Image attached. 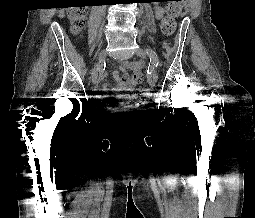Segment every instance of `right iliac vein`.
Returning a JSON list of instances; mask_svg holds the SVG:
<instances>
[{"label":"right iliac vein","instance_id":"1","mask_svg":"<svg viewBox=\"0 0 255 218\" xmlns=\"http://www.w3.org/2000/svg\"><path fill=\"white\" fill-rule=\"evenodd\" d=\"M106 55H107L106 50H102L99 53L98 62L94 65L92 75H91L93 84H97L99 82L98 74L101 70L103 63L105 62Z\"/></svg>","mask_w":255,"mask_h":218}]
</instances>
